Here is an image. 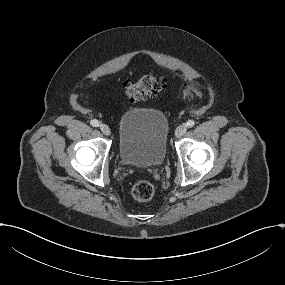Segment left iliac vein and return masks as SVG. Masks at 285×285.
<instances>
[{"instance_id": "obj_1", "label": "left iliac vein", "mask_w": 285, "mask_h": 285, "mask_svg": "<svg viewBox=\"0 0 285 285\" xmlns=\"http://www.w3.org/2000/svg\"><path fill=\"white\" fill-rule=\"evenodd\" d=\"M187 127L185 125H179L175 130V137L180 138L183 134H185Z\"/></svg>"}]
</instances>
